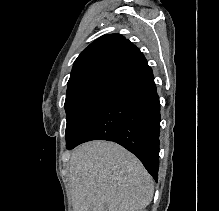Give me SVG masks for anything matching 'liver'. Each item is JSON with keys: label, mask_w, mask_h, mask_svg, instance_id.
Listing matches in <instances>:
<instances>
[{"label": "liver", "mask_w": 219, "mask_h": 211, "mask_svg": "<svg viewBox=\"0 0 219 211\" xmlns=\"http://www.w3.org/2000/svg\"><path fill=\"white\" fill-rule=\"evenodd\" d=\"M68 181L73 211H142L154 193L153 179L140 159L104 139L73 149Z\"/></svg>", "instance_id": "1"}]
</instances>
